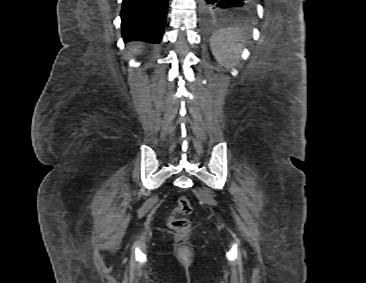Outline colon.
Wrapping results in <instances>:
<instances>
[{
    "label": "colon",
    "mask_w": 366,
    "mask_h": 283,
    "mask_svg": "<svg viewBox=\"0 0 366 283\" xmlns=\"http://www.w3.org/2000/svg\"><path fill=\"white\" fill-rule=\"evenodd\" d=\"M192 205L186 196H180L177 200V207L169 217V226L179 232H186L190 228V222L185 218L191 214Z\"/></svg>",
    "instance_id": "colon-1"
}]
</instances>
